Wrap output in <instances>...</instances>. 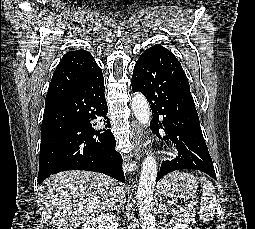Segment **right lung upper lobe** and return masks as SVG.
Segmentation results:
<instances>
[{"instance_id": "right-lung-upper-lobe-1", "label": "right lung upper lobe", "mask_w": 255, "mask_h": 229, "mask_svg": "<svg viewBox=\"0 0 255 229\" xmlns=\"http://www.w3.org/2000/svg\"><path fill=\"white\" fill-rule=\"evenodd\" d=\"M96 67L98 65L92 55L83 49L66 53L52 76L45 105L67 97L74 90L78 80Z\"/></svg>"}]
</instances>
